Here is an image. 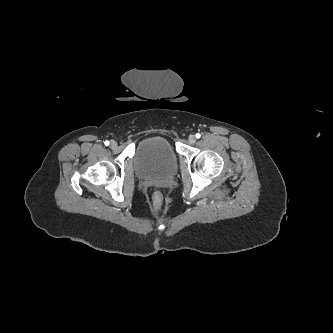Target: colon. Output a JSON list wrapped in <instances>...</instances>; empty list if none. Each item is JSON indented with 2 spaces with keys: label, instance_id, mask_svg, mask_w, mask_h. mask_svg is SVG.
Returning <instances> with one entry per match:
<instances>
[{
  "label": "colon",
  "instance_id": "obj_1",
  "mask_svg": "<svg viewBox=\"0 0 333 333\" xmlns=\"http://www.w3.org/2000/svg\"><path fill=\"white\" fill-rule=\"evenodd\" d=\"M155 198H156V202H157L158 206H160L162 203V198H161L160 194L155 193Z\"/></svg>",
  "mask_w": 333,
  "mask_h": 333
}]
</instances>
